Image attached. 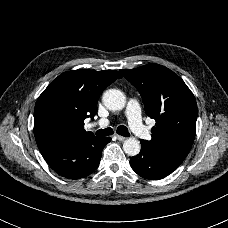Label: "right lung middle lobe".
Returning <instances> with one entry per match:
<instances>
[{
    "instance_id": "right-lung-middle-lobe-1",
    "label": "right lung middle lobe",
    "mask_w": 228,
    "mask_h": 228,
    "mask_svg": "<svg viewBox=\"0 0 228 228\" xmlns=\"http://www.w3.org/2000/svg\"><path fill=\"white\" fill-rule=\"evenodd\" d=\"M45 121L52 124L59 123L61 121V116L55 110H50L45 115Z\"/></svg>"
}]
</instances>
